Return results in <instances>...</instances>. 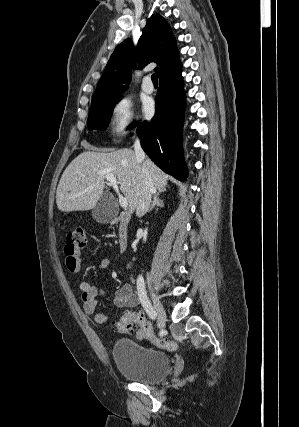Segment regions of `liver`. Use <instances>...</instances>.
Masks as SVG:
<instances>
[{"mask_svg":"<svg viewBox=\"0 0 299 427\" xmlns=\"http://www.w3.org/2000/svg\"><path fill=\"white\" fill-rule=\"evenodd\" d=\"M151 182L155 191H165L168 176L152 161L147 159ZM117 178L121 192L125 195L129 212L137 207L143 176L141 162L131 149L113 152L85 151L78 155L65 169L56 191V204L60 211H84L93 209L105 188V174Z\"/></svg>","mask_w":299,"mask_h":427,"instance_id":"6515ba94","label":"liver"}]
</instances>
